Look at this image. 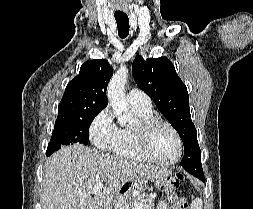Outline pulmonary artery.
Listing matches in <instances>:
<instances>
[{
	"label": "pulmonary artery",
	"instance_id": "1",
	"mask_svg": "<svg viewBox=\"0 0 253 209\" xmlns=\"http://www.w3.org/2000/svg\"><path fill=\"white\" fill-rule=\"evenodd\" d=\"M127 100L131 104H138L149 107L152 106L151 99L149 98V96L145 92L136 88L131 89L127 93Z\"/></svg>",
	"mask_w": 253,
	"mask_h": 209
}]
</instances>
